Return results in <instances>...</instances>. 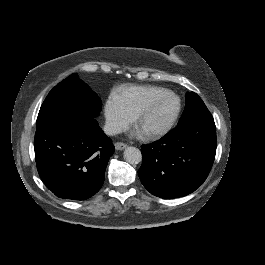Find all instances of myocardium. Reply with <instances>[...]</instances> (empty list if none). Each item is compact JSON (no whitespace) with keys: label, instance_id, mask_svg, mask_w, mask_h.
<instances>
[{"label":"myocardium","instance_id":"myocardium-1","mask_svg":"<svg viewBox=\"0 0 265 265\" xmlns=\"http://www.w3.org/2000/svg\"><path fill=\"white\" fill-rule=\"evenodd\" d=\"M162 93L170 94L174 98H176V100L178 102V107L172 116H170L166 120L162 121L159 125H157L156 127L152 128L150 130L142 131L143 134L147 137L153 138V137H156V136L162 134L167 128H169L178 119V117L182 111V99L178 94H176L174 91L169 90V89H158L154 92V94L147 100L145 105L136 114L135 118H136L137 123H138L139 119L141 117H143L148 112V110L150 109L156 96L159 94H162Z\"/></svg>","mask_w":265,"mask_h":265}]
</instances>
